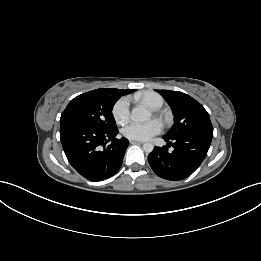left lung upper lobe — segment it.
Instances as JSON below:
<instances>
[{
	"instance_id": "obj_1",
	"label": "left lung upper lobe",
	"mask_w": 261,
	"mask_h": 261,
	"mask_svg": "<svg viewBox=\"0 0 261 261\" xmlns=\"http://www.w3.org/2000/svg\"><path fill=\"white\" fill-rule=\"evenodd\" d=\"M169 103L174 114V124L166 137L205 133L213 135V126L205 108L191 96L170 90H156Z\"/></svg>"
}]
</instances>
